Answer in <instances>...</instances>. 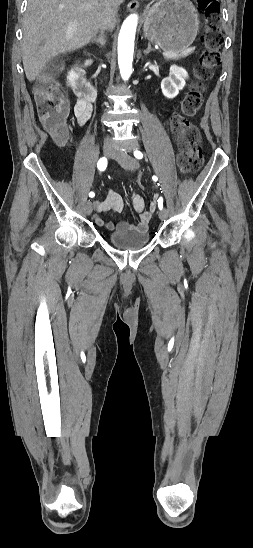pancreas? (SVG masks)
Masks as SVG:
<instances>
[{
	"label": "pancreas",
	"mask_w": 253,
	"mask_h": 548,
	"mask_svg": "<svg viewBox=\"0 0 253 548\" xmlns=\"http://www.w3.org/2000/svg\"><path fill=\"white\" fill-rule=\"evenodd\" d=\"M191 53V50H185L181 53L164 52V58L167 60H179L187 57Z\"/></svg>",
	"instance_id": "pancreas-1"
}]
</instances>
